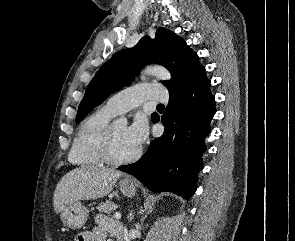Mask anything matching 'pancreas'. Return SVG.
Wrapping results in <instances>:
<instances>
[{"mask_svg":"<svg viewBox=\"0 0 295 241\" xmlns=\"http://www.w3.org/2000/svg\"><path fill=\"white\" fill-rule=\"evenodd\" d=\"M115 209H116V205L109 200H107L106 202H102L101 204L97 206V210L99 212H104L107 214H110Z\"/></svg>","mask_w":295,"mask_h":241,"instance_id":"obj_1","label":"pancreas"}]
</instances>
